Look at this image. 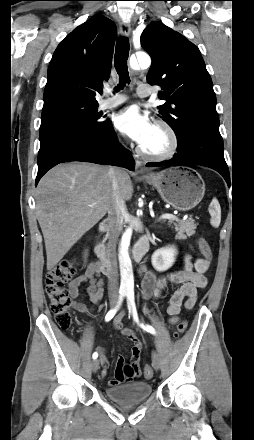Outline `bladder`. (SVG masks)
Here are the masks:
<instances>
[{"mask_svg": "<svg viewBox=\"0 0 254 440\" xmlns=\"http://www.w3.org/2000/svg\"><path fill=\"white\" fill-rule=\"evenodd\" d=\"M153 392L149 382H133L105 389L106 395L121 404L140 403L148 399Z\"/></svg>", "mask_w": 254, "mask_h": 440, "instance_id": "obj_1", "label": "bladder"}]
</instances>
